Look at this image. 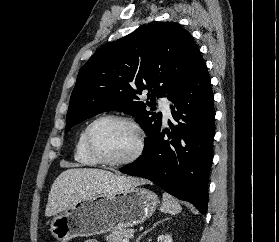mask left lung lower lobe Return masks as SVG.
<instances>
[{"label":"left lung lower lobe","instance_id":"0a47b994","mask_svg":"<svg viewBox=\"0 0 279 242\" xmlns=\"http://www.w3.org/2000/svg\"><path fill=\"white\" fill-rule=\"evenodd\" d=\"M213 100L206 64L198 52L172 100L177 124L169 121L171 131L160 129L150 148L119 171L147 178L205 214L215 135ZM165 134L169 139H164Z\"/></svg>","mask_w":279,"mask_h":242}]
</instances>
